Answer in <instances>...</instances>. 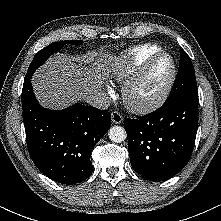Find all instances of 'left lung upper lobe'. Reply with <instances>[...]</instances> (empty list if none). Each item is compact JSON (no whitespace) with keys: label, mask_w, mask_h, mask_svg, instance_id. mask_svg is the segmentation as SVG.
<instances>
[{"label":"left lung upper lobe","mask_w":221,"mask_h":221,"mask_svg":"<svg viewBox=\"0 0 221 221\" xmlns=\"http://www.w3.org/2000/svg\"><path fill=\"white\" fill-rule=\"evenodd\" d=\"M184 95H198V90L191 59L188 54L181 49L178 73L166 102Z\"/></svg>","instance_id":"1"}]
</instances>
